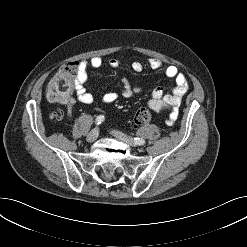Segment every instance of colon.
Returning <instances> with one entry per match:
<instances>
[{
  "mask_svg": "<svg viewBox=\"0 0 247 247\" xmlns=\"http://www.w3.org/2000/svg\"><path fill=\"white\" fill-rule=\"evenodd\" d=\"M77 62H69L50 79L47 85V97L54 103H63L71 99V95L77 85ZM151 120L150 112L139 109L134 116L136 125H144Z\"/></svg>",
  "mask_w": 247,
  "mask_h": 247,
  "instance_id": "5ec220e1",
  "label": "colon"
}]
</instances>
